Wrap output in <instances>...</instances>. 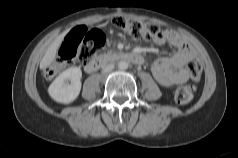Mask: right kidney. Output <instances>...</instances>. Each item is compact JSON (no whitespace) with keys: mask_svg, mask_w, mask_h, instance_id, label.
I'll return each instance as SVG.
<instances>
[{"mask_svg":"<svg viewBox=\"0 0 238 158\" xmlns=\"http://www.w3.org/2000/svg\"><path fill=\"white\" fill-rule=\"evenodd\" d=\"M81 77L82 71L80 68H68L50 84L48 88L49 95L58 103L69 104L73 102L79 96L81 90Z\"/></svg>","mask_w":238,"mask_h":158,"instance_id":"right-kidney-1","label":"right kidney"}]
</instances>
